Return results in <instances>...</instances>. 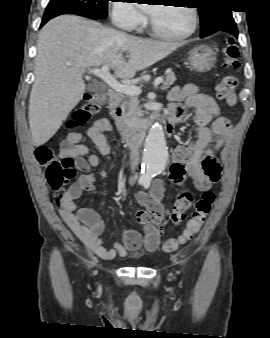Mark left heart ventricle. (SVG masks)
I'll use <instances>...</instances> for the list:
<instances>
[{
    "mask_svg": "<svg viewBox=\"0 0 270 338\" xmlns=\"http://www.w3.org/2000/svg\"><path fill=\"white\" fill-rule=\"evenodd\" d=\"M149 13L156 27L169 34H181L192 27V14L187 7L150 5Z\"/></svg>",
    "mask_w": 270,
    "mask_h": 338,
    "instance_id": "obj_1",
    "label": "left heart ventricle"
}]
</instances>
